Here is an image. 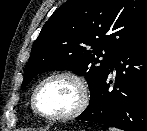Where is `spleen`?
Returning a JSON list of instances; mask_svg holds the SVG:
<instances>
[{
    "mask_svg": "<svg viewBox=\"0 0 147 131\" xmlns=\"http://www.w3.org/2000/svg\"><path fill=\"white\" fill-rule=\"evenodd\" d=\"M109 131H117L116 129L113 128H109Z\"/></svg>",
    "mask_w": 147,
    "mask_h": 131,
    "instance_id": "3e777b00",
    "label": "spleen"
}]
</instances>
